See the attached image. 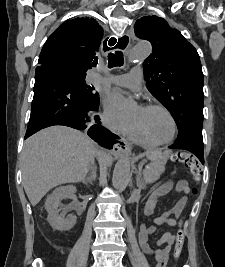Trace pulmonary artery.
Here are the masks:
<instances>
[{"label": "pulmonary artery", "instance_id": "pulmonary-artery-1", "mask_svg": "<svg viewBox=\"0 0 225 267\" xmlns=\"http://www.w3.org/2000/svg\"><path fill=\"white\" fill-rule=\"evenodd\" d=\"M94 80L106 81L108 83L137 90L140 88L143 81V72L140 66H135L127 74L111 75L103 79L99 73L94 74Z\"/></svg>", "mask_w": 225, "mask_h": 267}]
</instances>
